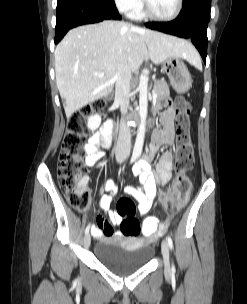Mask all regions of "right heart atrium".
<instances>
[{"instance_id":"obj_1","label":"right heart atrium","mask_w":247,"mask_h":304,"mask_svg":"<svg viewBox=\"0 0 247 304\" xmlns=\"http://www.w3.org/2000/svg\"><path fill=\"white\" fill-rule=\"evenodd\" d=\"M117 8L124 12L134 11L141 7V0H114Z\"/></svg>"}]
</instances>
